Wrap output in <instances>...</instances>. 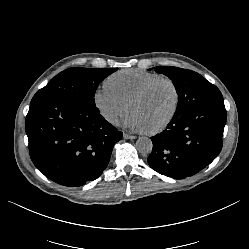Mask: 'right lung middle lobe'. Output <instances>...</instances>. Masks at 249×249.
I'll list each match as a JSON object with an SVG mask.
<instances>
[{"mask_svg": "<svg viewBox=\"0 0 249 249\" xmlns=\"http://www.w3.org/2000/svg\"><path fill=\"white\" fill-rule=\"evenodd\" d=\"M117 68H70L56 75L32 98L31 104L52 99H73L95 106L94 96L99 83Z\"/></svg>", "mask_w": 249, "mask_h": 249, "instance_id": "obj_1", "label": "right lung middle lobe"}]
</instances>
